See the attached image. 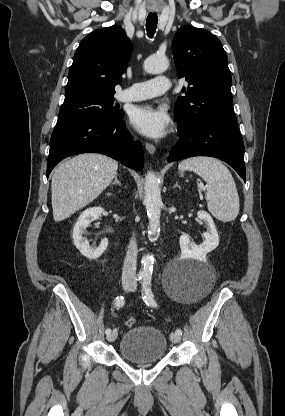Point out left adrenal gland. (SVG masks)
I'll return each mask as SVG.
<instances>
[{"label": "left adrenal gland", "mask_w": 285, "mask_h": 416, "mask_svg": "<svg viewBox=\"0 0 285 416\" xmlns=\"http://www.w3.org/2000/svg\"><path fill=\"white\" fill-rule=\"evenodd\" d=\"M173 188H180V190H181V186H178V182H175Z\"/></svg>", "instance_id": "left-adrenal-gland-1"}]
</instances>
